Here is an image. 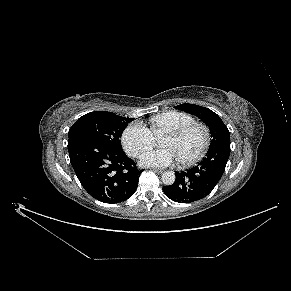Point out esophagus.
Here are the masks:
<instances>
[{
  "mask_svg": "<svg viewBox=\"0 0 291 291\" xmlns=\"http://www.w3.org/2000/svg\"><path fill=\"white\" fill-rule=\"evenodd\" d=\"M151 170L156 172V173H162L163 172L162 169H157V168H152Z\"/></svg>",
  "mask_w": 291,
  "mask_h": 291,
  "instance_id": "obj_1",
  "label": "esophagus"
}]
</instances>
